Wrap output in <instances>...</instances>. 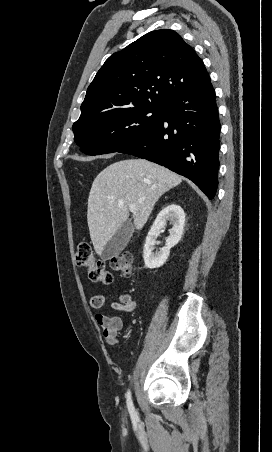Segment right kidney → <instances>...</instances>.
<instances>
[{"instance_id": "1", "label": "right kidney", "mask_w": 272, "mask_h": 452, "mask_svg": "<svg viewBox=\"0 0 272 452\" xmlns=\"http://www.w3.org/2000/svg\"><path fill=\"white\" fill-rule=\"evenodd\" d=\"M167 221H170L173 227L166 240V246L160 251L154 252L156 239L160 230L165 228ZM184 223L185 213L179 205L171 204L160 211L148 232L143 249V258L147 268H159L166 262L170 249L178 244L183 235Z\"/></svg>"}]
</instances>
